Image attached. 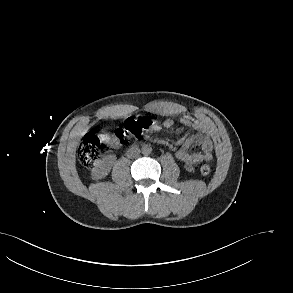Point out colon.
Segmentation results:
<instances>
[{
    "mask_svg": "<svg viewBox=\"0 0 293 293\" xmlns=\"http://www.w3.org/2000/svg\"><path fill=\"white\" fill-rule=\"evenodd\" d=\"M156 125V121L152 118L137 116L126 119L123 126L113 132H104L100 135L87 134L79 146V160L86 167H92L98 160L104 146H120L127 141L140 137ZM210 172L211 167L209 165L200 167L202 175H208Z\"/></svg>",
    "mask_w": 293,
    "mask_h": 293,
    "instance_id": "obj_1",
    "label": "colon"
}]
</instances>
